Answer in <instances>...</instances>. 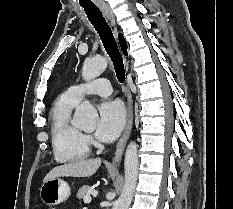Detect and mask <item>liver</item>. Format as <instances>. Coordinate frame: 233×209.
I'll list each match as a JSON object with an SVG mask.
<instances>
[{
    "label": "liver",
    "instance_id": "liver-1",
    "mask_svg": "<svg viewBox=\"0 0 233 209\" xmlns=\"http://www.w3.org/2000/svg\"><path fill=\"white\" fill-rule=\"evenodd\" d=\"M101 165V159L73 161L54 167L44 177L43 182L57 177H89L95 174Z\"/></svg>",
    "mask_w": 233,
    "mask_h": 209
}]
</instances>
